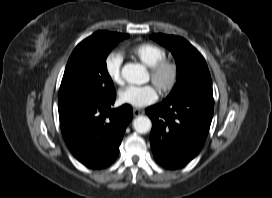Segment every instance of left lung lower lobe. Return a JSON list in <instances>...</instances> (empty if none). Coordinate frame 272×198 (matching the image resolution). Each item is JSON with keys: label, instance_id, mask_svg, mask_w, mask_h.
I'll use <instances>...</instances> for the list:
<instances>
[{"label": "left lung lower lobe", "instance_id": "obj_1", "mask_svg": "<svg viewBox=\"0 0 272 198\" xmlns=\"http://www.w3.org/2000/svg\"><path fill=\"white\" fill-rule=\"evenodd\" d=\"M213 108V96L208 95H187L147 108L156 161L167 169H177L192 160L203 148Z\"/></svg>", "mask_w": 272, "mask_h": 198}]
</instances>
